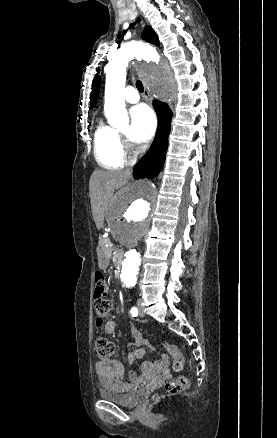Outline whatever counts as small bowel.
<instances>
[{
    "label": "small bowel",
    "mask_w": 277,
    "mask_h": 438,
    "mask_svg": "<svg viewBox=\"0 0 277 438\" xmlns=\"http://www.w3.org/2000/svg\"><path fill=\"white\" fill-rule=\"evenodd\" d=\"M104 330L107 334L116 333V323L114 320H108L104 324ZM134 342L129 344L133 348V353L130 355V362L143 355V346L147 343L142 338L141 334L135 328L132 329ZM170 359L167 354H162L159 360L154 364L151 362H143L141 364V374L146 375L150 372H158L170 374ZM95 371L98 376L99 384L106 389L125 392L140 380V374L135 371L125 372L124 366L117 360H101L95 364Z\"/></svg>",
    "instance_id": "c3829d8e"
}]
</instances>
